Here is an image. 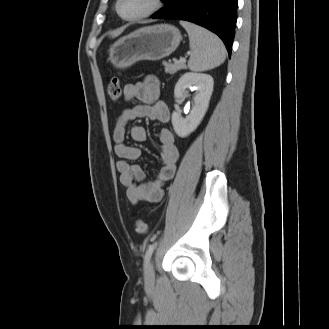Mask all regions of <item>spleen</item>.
<instances>
[{"label":"spleen","mask_w":329,"mask_h":329,"mask_svg":"<svg viewBox=\"0 0 329 329\" xmlns=\"http://www.w3.org/2000/svg\"><path fill=\"white\" fill-rule=\"evenodd\" d=\"M180 24L189 36L192 52L188 61V68L191 71H207L225 61V46L215 34L190 22L180 21Z\"/></svg>","instance_id":"3e777b00"}]
</instances>
